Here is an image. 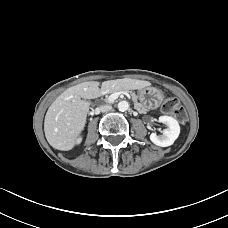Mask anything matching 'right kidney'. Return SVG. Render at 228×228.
<instances>
[{"mask_svg":"<svg viewBox=\"0 0 228 228\" xmlns=\"http://www.w3.org/2000/svg\"><path fill=\"white\" fill-rule=\"evenodd\" d=\"M80 141H81V139H78V141H77V142H78V143H80Z\"/></svg>","mask_w":228,"mask_h":228,"instance_id":"obj_1","label":"right kidney"}]
</instances>
